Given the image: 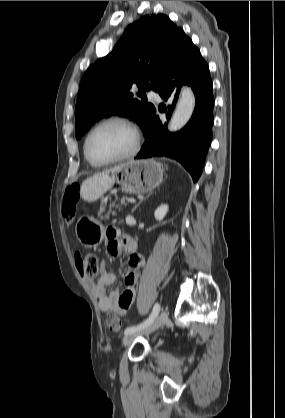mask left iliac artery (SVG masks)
I'll return each instance as SVG.
<instances>
[{
  "mask_svg": "<svg viewBox=\"0 0 285 418\" xmlns=\"http://www.w3.org/2000/svg\"><path fill=\"white\" fill-rule=\"evenodd\" d=\"M160 309H161L160 304L159 303H155V305L153 307V310H152L151 314L149 315V317L145 321H143L142 323H140V324H138L136 326L127 327L124 330V334L125 335H128V334L133 333L135 331L144 329L146 326H148L149 324H151L156 319V317L158 316V314L160 312Z\"/></svg>",
  "mask_w": 285,
  "mask_h": 418,
  "instance_id": "1",
  "label": "left iliac artery"
}]
</instances>
